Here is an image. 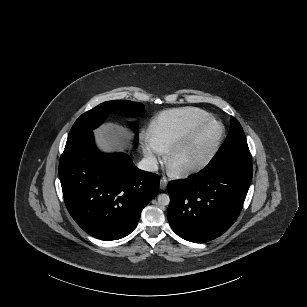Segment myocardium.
Here are the masks:
<instances>
[{
  "mask_svg": "<svg viewBox=\"0 0 307 307\" xmlns=\"http://www.w3.org/2000/svg\"><path fill=\"white\" fill-rule=\"evenodd\" d=\"M216 123H220L223 126V134L214 144V146L208 151L206 155H204L200 160L196 161L195 163L185 165L182 167H176L175 163L180 158V156L185 153L187 150L192 148L200 138L209 130L211 126ZM226 125L220 120H211L207 122L205 125L198 128L194 133H192L186 140L179 143L175 147H173L166 159L167 168L169 172L176 177H186L191 174L197 173L207 167L217 156L221 146L226 138Z\"/></svg>",
  "mask_w": 307,
  "mask_h": 307,
  "instance_id": "1",
  "label": "myocardium"
}]
</instances>
